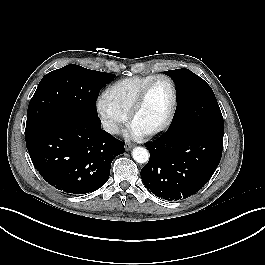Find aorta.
Masks as SVG:
<instances>
[{
    "instance_id": "762f6f07",
    "label": "aorta",
    "mask_w": 265,
    "mask_h": 265,
    "mask_svg": "<svg viewBox=\"0 0 265 265\" xmlns=\"http://www.w3.org/2000/svg\"><path fill=\"white\" fill-rule=\"evenodd\" d=\"M132 157L136 162L143 164L148 162L149 152L143 147H135L132 151Z\"/></svg>"
}]
</instances>
